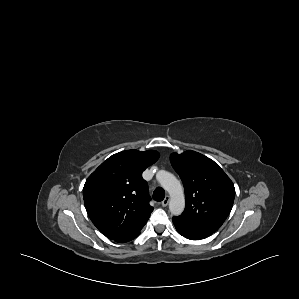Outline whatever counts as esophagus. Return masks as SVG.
<instances>
[{"instance_id": "obj_1", "label": "esophagus", "mask_w": 299, "mask_h": 299, "mask_svg": "<svg viewBox=\"0 0 299 299\" xmlns=\"http://www.w3.org/2000/svg\"><path fill=\"white\" fill-rule=\"evenodd\" d=\"M169 199H170L169 196H166L165 199L161 202V205L163 207H166L169 203Z\"/></svg>"}]
</instances>
